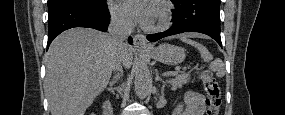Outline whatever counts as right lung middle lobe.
<instances>
[{
	"label": "right lung middle lobe",
	"instance_id": "right-lung-middle-lobe-1",
	"mask_svg": "<svg viewBox=\"0 0 285 115\" xmlns=\"http://www.w3.org/2000/svg\"><path fill=\"white\" fill-rule=\"evenodd\" d=\"M67 3H80L92 7H105L106 0H48V10Z\"/></svg>",
	"mask_w": 285,
	"mask_h": 115
}]
</instances>
